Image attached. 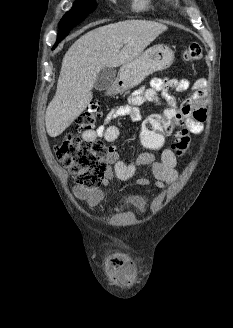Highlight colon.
Wrapping results in <instances>:
<instances>
[{"instance_id": "obj_1", "label": "colon", "mask_w": 233, "mask_h": 328, "mask_svg": "<svg viewBox=\"0 0 233 328\" xmlns=\"http://www.w3.org/2000/svg\"><path fill=\"white\" fill-rule=\"evenodd\" d=\"M202 57L198 43H191L184 51L187 61H196ZM100 117L97 104H91L77 118L79 130L89 131ZM190 131L183 114L169 109L162 114L150 116L141 131V143L148 150L155 151L163 147L165 137H173L172 149L184 154L190 146ZM55 156L62 166L74 174L76 183L87 190H97L104 181L107 172L106 148L101 141H88L76 134H67L55 147Z\"/></svg>"}]
</instances>
